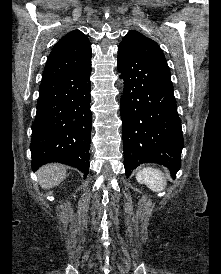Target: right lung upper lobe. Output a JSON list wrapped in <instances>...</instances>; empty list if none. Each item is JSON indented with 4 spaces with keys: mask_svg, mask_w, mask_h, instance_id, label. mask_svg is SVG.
Here are the masks:
<instances>
[{
    "mask_svg": "<svg viewBox=\"0 0 221 274\" xmlns=\"http://www.w3.org/2000/svg\"><path fill=\"white\" fill-rule=\"evenodd\" d=\"M91 45L86 35L74 30L53 47L44 69L42 83L91 63Z\"/></svg>",
    "mask_w": 221,
    "mask_h": 274,
    "instance_id": "obj_1",
    "label": "right lung upper lobe"
}]
</instances>
